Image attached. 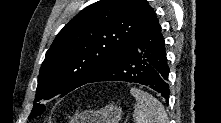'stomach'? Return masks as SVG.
Here are the masks:
<instances>
[{"label":"stomach","mask_w":221,"mask_h":123,"mask_svg":"<svg viewBox=\"0 0 221 123\" xmlns=\"http://www.w3.org/2000/svg\"><path fill=\"white\" fill-rule=\"evenodd\" d=\"M122 115L119 106L110 104L97 111H84L72 123H118Z\"/></svg>","instance_id":"stomach-1"}]
</instances>
